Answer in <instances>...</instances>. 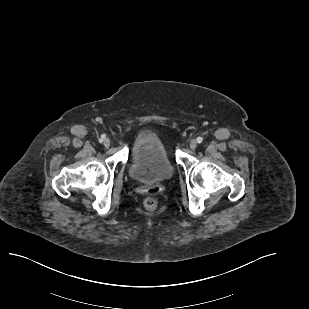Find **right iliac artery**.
<instances>
[{
	"mask_svg": "<svg viewBox=\"0 0 309 309\" xmlns=\"http://www.w3.org/2000/svg\"><path fill=\"white\" fill-rule=\"evenodd\" d=\"M104 138H105V136H104V135H102V136H101V138H99V142H100V143H102V142H103V140H104Z\"/></svg>",
	"mask_w": 309,
	"mask_h": 309,
	"instance_id": "1",
	"label": "right iliac artery"
}]
</instances>
